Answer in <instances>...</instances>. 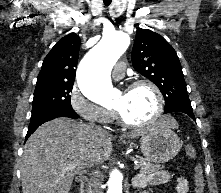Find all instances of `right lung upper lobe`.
Here are the masks:
<instances>
[{
  "instance_id": "cb5924a9",
  "label": "right lung upper lobe",
  "mask_w": 221,
  "mask_h": 193,
  "mask_svg": "<svg viewBox=\"0 0 221 193\" xmlns=\"http://www.w3.org/2000/svg\"><path fill=\"white\" fill-rule=\"evenodd\" d=\"M81 40L75 33L60 39L45 57L36 85L73 83Z\"/></svg>"
}]
</instances>
